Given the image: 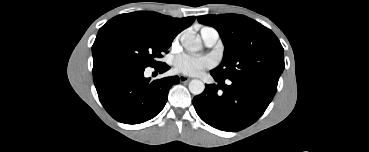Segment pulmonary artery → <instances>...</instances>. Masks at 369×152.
Returning a JSON list of instances; mask_svg holds the SVG:
<instances>
[{"label":"pulmonary artery","mask_w":369,"mask_h":152,"mask_svg":"<svg viewBox=\"0 0 369 152\" xmlns=\"http://www.w3.org/2000/svg\"><path fill=\"white\" fill-rule=\"evenodd\" d=\"M200 37L206 46L212 47L219 40V33L212 27H203L200 31Z\"/></svg>","instance_id":"1"}]
</instances>
